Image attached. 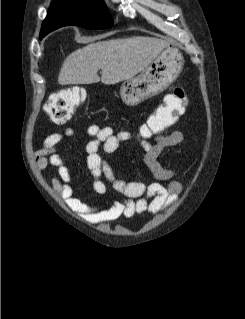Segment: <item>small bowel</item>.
<instances>
[{
	"mask_svg": "<svg viewBox=\"0 0 245 319\" xmlns=\"http://www.w3.org/2000/svg\"><path fill=\"white\" fill-rule=\"evenodd\" d=\"M179 90L180 88H177L175 92ZM184 96L186 104V95ZM86 133L92 137L86 144L85 152L86 163L93 177L94 190L100 195H109L110 187L105 182L106 179L120 196L119 199L110 202L106 207L86 203L74 196L70 168L64 158L57 153V145L64 138L74 136L73 128L68 127L63 132L48 135L42 148L35 153V161L39 170H44L48 166L57 169V175L51 179L55 191L64 199L67 206L77 212L84 220L107 222L122 216L130 218L143 213L154 215L166 210L177 201L182 192V184L178 181H172L168 186H164L159 183L147 184L143 181H127L115 175L103 154H111L118 149L121 143L131 140L132 134L129 131L115 134L110 127L90 125L86 129ZM183 141L184 135L179 130L163 133L154 142L140 141V145L145 151V165L155 179L167 181L175 176V171L163 166L158 159L165 149L179 146Z\"/></svg>",
	"mask_w": 245,
	"mask_h": 319,
	"instance_id": "1",
	"label": "small bowel"
}]
</instances>
